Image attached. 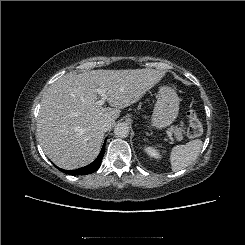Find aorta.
<instances>
[{
    "label": "aorta",
    "mask_w": 245,
    "mask_h": 245,
    "mask_svg": "<svg viewBox=\"0 0 245 245\" xmlns=\"http://www.w3.org/2000/svg\"><path fill=\"white\" fill-rule=\"evenodd\" d=\"M114 134L118 138H126L129 135V126L127 123H118L114 128Z\"/></svg>",
    "instance_id": "762f6f07"
}]
</instances>
